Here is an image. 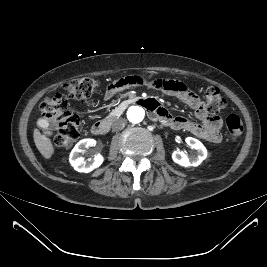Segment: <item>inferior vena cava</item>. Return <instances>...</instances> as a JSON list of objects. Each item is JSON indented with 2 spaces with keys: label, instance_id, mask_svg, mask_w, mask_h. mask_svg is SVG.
<instances>
[{
  "label": "inferior vena cava",
  "instance_id": "obj_1",
  "mask_svg": "<svg viewBox=\"0 0 267 267\" xmlns=\"http://www.w3.org/2000/svg\"><path fill=\"white\" fill-rule=\"evenodd\" d=\"M126 125V120L125 119H117L113 122L112 124V130L113 131H120L122 130Z\"/></svg>",
  "mask_w": 267,
  "mask_h": 267
}]
</instances>
